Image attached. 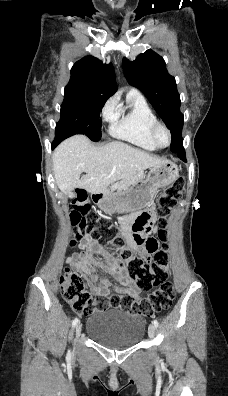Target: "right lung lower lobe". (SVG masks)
Segmentation results:
<instances>
[{
  "instance_id": "98d812e1",
  "label": "right lung lower lobe",
  "mask_w": 228,
  "mask_h": 396,
  "mask_svg": "<svg viewBox=\"0 0 228 396\" xmlns=\"http://www.w3.org/2000/svg\"><path fill=\"white\" fill-rule=\"evenodd\" d=\"M61 141H62L61 139L55 137V140L52 143V148H54L56 145H58Z\"/></svg>"
}]
</instances>
